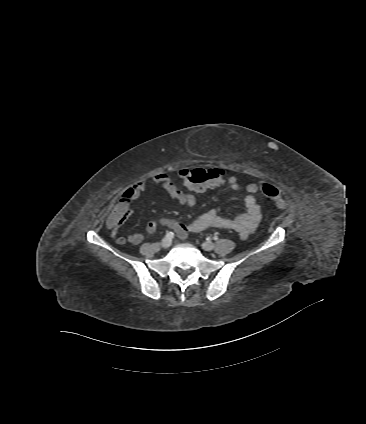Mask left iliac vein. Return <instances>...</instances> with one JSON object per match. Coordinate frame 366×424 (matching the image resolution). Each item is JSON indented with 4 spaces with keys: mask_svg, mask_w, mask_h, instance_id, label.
Instances as JSON below:
<instances>
[{
    "mask_svg": "<svg viewBox=\"0 0 366 424\" xmlns=\"http://www.w3.org/2000/svg\"><path fill=\"white\" fill-rule=\"evenodd\" d=\"M214 247H215V244H214L213 242H211V241L204 242V243L202 244V248H203L205 251H211V250H213V249H214Z\"/></svg>",
    "mask_w": 366,
    "mask_h": 424,
    "instance_id": "1",
    "label": "left iliac vein"
}]
</instances>
